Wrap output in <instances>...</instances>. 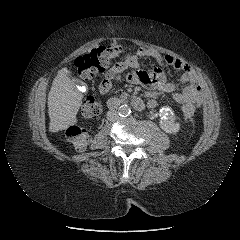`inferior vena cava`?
Here are the masks:
<instances>
[{
    "mask_svg": "<svg viewBox=\"0 0 240 240\" xmlns=\"http://www.w3.org/2000/svg\"><path fill=\"white\" fill-rule=\"evenodd\" d=\"M119 119V113L116 110H109L107 112V120L110 122L117 121Z\"/></svg>",
    "mask_w": 240,
    "mask_h": 240,
    "instance_id": "1",
    "label": "inferior vena cava"
}]
</instances>
